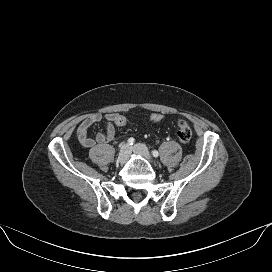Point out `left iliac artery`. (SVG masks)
Returning a JSON list of instances; mask_svg holds the SVG:
<instances>
[{"instance_id": "obj_1", "label": "left iliac artery", "mask_w": 272, "mask_h": 272, "mask_svg": "<svg viewBox=\"0 0 272 272\" xmlns=\"http://www.w3.org/2000/svg\"><path fill=\"white\" fill-rule=\"evenodd\" d=\"M152 155H153L154 157H158V156H159V152H158L157 150H153V151H152Z\"/></svg>"}]
</instances>
